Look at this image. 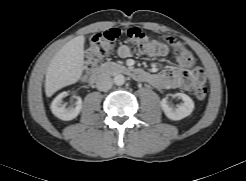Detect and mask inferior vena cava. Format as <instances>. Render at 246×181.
<instances>
[{
	"label": "inferior vena cava",
	"mask_w": 246,
	"mask_h": 181,
	"mask_svg": "<svg viewBox=\"0 0 246 181\" xmlns=\"http://www.w3.org/2000/svg\"><path fill=\"white\" fill-rule=\"evenodd\" d=\"M113 85V80L107 75H101L96 81V87L99 91H107Z\"/></svg>",
	"instance_id": "602c4592"
}]
</instances>
